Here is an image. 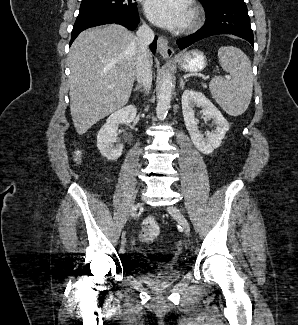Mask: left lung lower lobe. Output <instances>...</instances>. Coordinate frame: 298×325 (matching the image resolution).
<instances>
[{
	"label": "left lung lower lobe",
	"mask_w": 298,
	"mask_h": 325,
	"mask_svg": "<svg viewBox=\"0 0 298 325\" xmlns=\"http://www.w3.org/2000/svg\"><path fill=\"white\" fill-rule=\"evenodd\" d=\"M232 34L254 45L247 6L244 0H226L209 9L204 26L196 33L177 40L182 50L191 44L213 35Z\"/></svg>",
	"instance_id": "1"
}]
</instances>
